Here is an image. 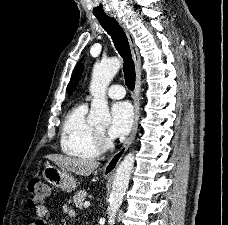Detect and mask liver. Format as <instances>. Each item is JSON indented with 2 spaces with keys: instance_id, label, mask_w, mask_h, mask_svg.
Returning a JSON list of instances; mask_svg holds the SVG:
<instances>
[{
  "instance_id": "1",
  "label": "liver",
  "mask_w": 228,
  "mask_h": 225,
  "mask_svg": "<svg viewBox=\"0 0 228 225\" xmlns=\"http://www.w3.org/2000/svg\"><path fill=\"white\" fill-rule=\"evenodd\" d=\"M45 159L53 161L60 169L72 171L75 175H82V177H89L100 163L97 161H88V159H73V157H63V155H46Z\"/></svg>"
}]
</instances>
